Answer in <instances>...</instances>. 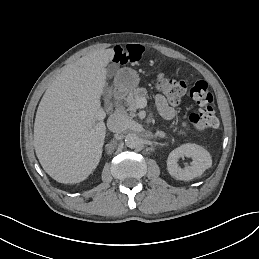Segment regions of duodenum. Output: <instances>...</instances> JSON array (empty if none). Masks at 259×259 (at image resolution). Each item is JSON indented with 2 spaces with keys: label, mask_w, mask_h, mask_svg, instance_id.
Listing matches in <instances>:
<instances>
[{
  "label": "duodenum",
  "mask_w": 259,
  "mask_h": 259,
  "mask_svg": "<svg viewBox=\"0 0 259 259\" xmlns=\"http://www.w3.org/2000/svg\"><path fill=\"white\" fill-rule=\"evenodd\" d=\"M125 95H126V90L124 88L116 89L114 93L115 104H119L122 101V99L125 97Z\"/></svg>",
  "instance_id": "duodenum-1"
}]
</instances>
